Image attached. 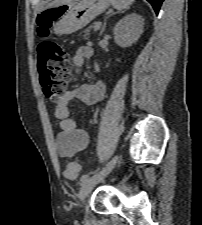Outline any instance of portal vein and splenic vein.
<instances>
[{
	"label": "portal vein and splenic vein",
	"mask_w": 202,
	"mask_h": 225,
	"mask_svg": "<svg viewBox=\"0 0 202 225\" xmlns=\"http://www.w3.org/2000/svg\"><path fill=\"white\" fill-rule=\"evenodd\" d=\"M101 25H102V22H97L95 24L94 30L97 31L101 27Z\"/></svg>",
	"instance_id": "1"
}]
</instances>
